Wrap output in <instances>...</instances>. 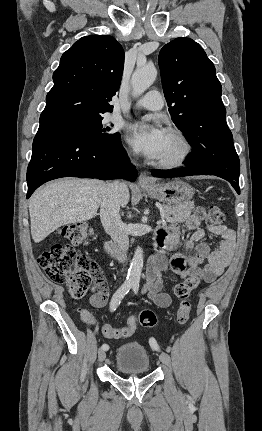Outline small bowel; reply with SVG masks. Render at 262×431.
I'll use <instances>...</instances> for the list:
<instances>
[{"label":"small bowel","mask_w":262,"mask_h":431,"mask_svg":"<svg viewBox=\"0 0 262 431\" xmlns=\"http://www.w3.org/2000/svg\"><path fill=\"white\" fill-rule=\"evenodd\" d=\"M205 212L195 209L192 215L183 223L174 222L166 228H159L157 235L163 241L161 250L150 258L147 265L145 292L152 302L160 308L172 305L173 298L163 291V274L172 269L171 281L178 282L186 276L197 275L204 282H214L230 265L233 252L235 235L232 229L226 225L213 226L205 224L200 226ZM182 224L191 235L182 239ZM207 233L221 236L220 247L211 251L207 243L203 241ZM192 251V255H187ZM204 264L202 267L200 265ZM108 285L106 277H102L91 289L90 305L98 308L106 304L108 300ZM90 317L87 311H84ZM109 326V325H104ZM154 342V338H151Z\"/></svg>","instance_id":"c3829d8e"}]
</instances>
